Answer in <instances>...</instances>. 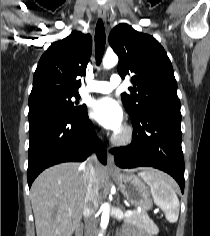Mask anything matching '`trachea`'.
<instances>
[{
    "mask_svg": "<svg viewBox=\"0 0 210 236\" xmlns=\"http://www.w3.org/2000/svg\"><path fill=\"white\" fill-rule=\"evenodd\" d=\"M105 50V28L103 21L98 20L95 32V55L96 64L100 65Z\"/></svg>",
    "mask_w": 210,
    "mask_h": 236,
    "instance_id": "1",
    "label": "trachea"
}]
</instances>
